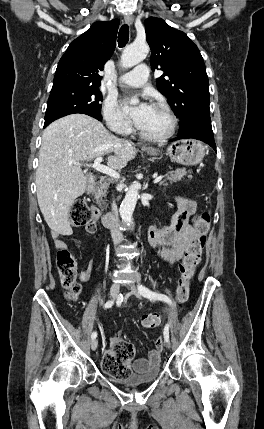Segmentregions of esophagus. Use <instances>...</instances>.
<instances>
[{
  "label": "esophagus",
  "mask_w": 264,
  "mask_h": 429,
  "mask_svg": "<svg viewBox=\"0 0 264 429\" xmlns=\"http://www.w3.org/2000/svg\"><path fill=\"white\" fill-rule=\"evenodd\" d=\"M124 20L128 25H132L134 21V16L132 14H126Z\"/></svg>",
  "instance_id": "obj_1"
}]
</instances>
